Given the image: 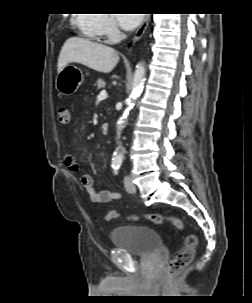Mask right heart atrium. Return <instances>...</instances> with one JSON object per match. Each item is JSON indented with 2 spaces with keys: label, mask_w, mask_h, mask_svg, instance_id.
I'll return each mask as SVG.
<instances>
[{
  "label": "right heart atrium",
  "mask_w": 252,
  "mask_h": 303,
  "mask_svg": "<svg viewBox=\"0 0 252 303\" xmlns=\"http://www.w3.org/2000/svg\"><path fill=\"white\" fill-rule=\"evenodd\" d=\"M97 28L100 33L106 37L109 43L116 40L118 35V28L115 20L110 14H100L97 20Z\"/></svg>",
  "instance_id": "obj_1"
}]
</instances>
